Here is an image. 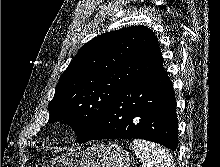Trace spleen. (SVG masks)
Listing matches in <instances>:
<instances>
[{"instance_id": "obj_1", "label": "spleen", "mask_w": 220, "mask_h": 167, "mask_svg": "<svg viewBox=\"0 0 220 167\" xmlns=\"http://www.w3.org/2000/svg\"><path fill=\"white\" fill-rule=\"evenodd\" d=\"M132 149L141 167H175L173 156L162 146L142 139L132 141Z\"/></svg>"}]
</instances>
